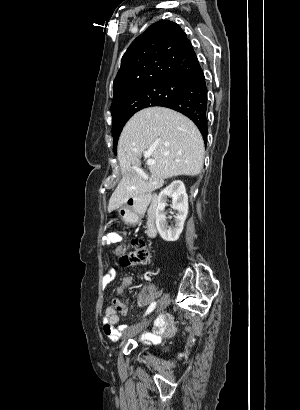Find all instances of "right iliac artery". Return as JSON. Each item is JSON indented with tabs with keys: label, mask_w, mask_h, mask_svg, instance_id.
Here are the masks:
<instances>
[{
	"label": "right iliac artery",
	"mask_w": 300,
	"mask_h": 410,
	"mask_svg": "<svg viewBox=\"0 0 300 410\" xmlns=\"http://www.w3.org/2000/svg\"><path fill=\"white\" fill-rule=\"evenodd\" d=\"M155 307H156V302L151 303V305L148 307L145 315L151 313L155 309Z\"/></svg>",
	"instance_id": "obj_1"
}]
</instances>
